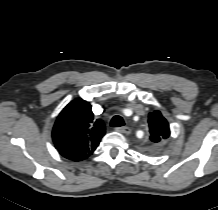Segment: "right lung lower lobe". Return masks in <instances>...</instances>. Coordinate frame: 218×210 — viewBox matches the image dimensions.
<instances>
[{
  "label": "right lung lower lobe",
  "instance_id": "right-lung-lower-lobe-1",
  "mask_svg": "<svg viewBox=\"0 0 218 210\" xmlns=\"http://www.w3.org/2000/svg\"><path fill=\"white\" fill-rule=\"evenodd\" d=\"M60 154H61L62 156H64L65 158H67V159L74 160V161H80L79 159L75 158L74 156H71V155L66 154V153H64V152H60ZM82 160H83V159H82Z\"/></svg>",
  "mask_w": 218,
  "mask_h": 210
}]
</instances>
